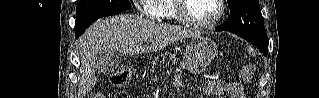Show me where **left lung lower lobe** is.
I'll use <instances>...</instances> for the list:
<instances>
[{
  "label": "left lung lower lobe",
  "mask_w": 319,
  "mask_h": 98,
  "mask_svg": "<svg viewBox=\"0 0 319 98\" xmlns=\"http://www.w3.org/2000/svg\"><path fill=\"white\" fill-rule=\"evenodd\" d=\"M223 29L220 27V26H218L217 28H216V31H222ZM254 45H256V47L260 50V51H262L263 52V54L265 55V56H267V54H268V44H260V43H254V42H252Z\"/></svg>",
  "instance_id": "obj_1"
}]
</instances>
